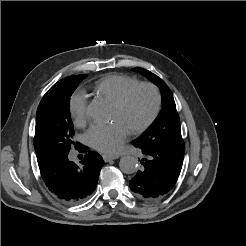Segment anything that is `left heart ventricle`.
Instances as JSON below:
<instances>
[{
  "label": "left heart ventricle",
  "instance_id": "b2bd125f",
  "mask_svg": "<svg viewBox=\"0 0 246 246\" xmlns=\"http://www.w3.org/2000/svg\"><path fill=\"white\" fill-rule=\"evenodd\" d=\"M155 106V96L148 88L138 89L123 107L112 106L111 119L120 120L131 130L145 122Z\"/></svg>",
  "mask_w": 246,
  "mask_h": 246
}]
</instances>
